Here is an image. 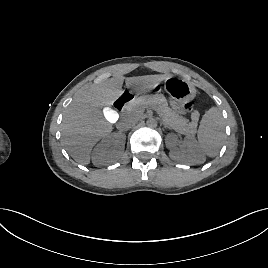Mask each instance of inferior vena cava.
Returning <instances> with one entry per match:
<instances>
[{
  "mask_svg": "<svg viewBox=\"0 0 268 268\" xmlns=\"http://www.w3.org/2000/svg\"><path fill=\"white\" fill-rule=\"evenodd\" d=\"M137 122V119L133 116H126L124 117L117 125L119 130H129L131 129Z\"/></svg>",
  "mask_w": 268,
  "mask_h": 268,
  "instance_id": "inferior-vena-cava-1",
  "label": "inferior vena cava"
}]
</instances>
